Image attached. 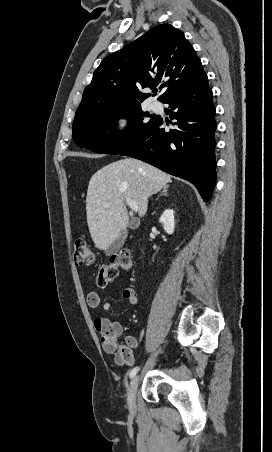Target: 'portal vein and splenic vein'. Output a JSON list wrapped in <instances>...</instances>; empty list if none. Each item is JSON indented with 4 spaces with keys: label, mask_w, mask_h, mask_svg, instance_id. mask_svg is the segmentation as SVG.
<instances>
[{
    "label": "portal vein and splenic vein",
    "mask_w": 272,
    "mask_h": 452,
    "mask_svg": "<svg viewBox=\"0 0 272 452\" xmlns=\"http://www.w3.org/2000/svg\"><path fill=\"white\" fill-rule=\"evenodd\" d=\"M125 201L132 211H138V205L135 201L130 198H126Z\"/></svg>",
    "instance_id": "18ae733b"
}]
</instances>
